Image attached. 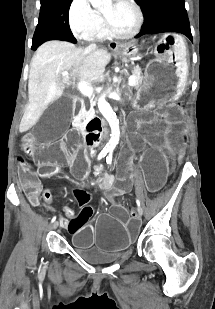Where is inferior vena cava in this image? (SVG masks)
Instances as JSON below:
<instances>
[{
  "label": "inferior vena cava",
  "mask_w": 215,
  "mask_h": 309,
  "mask_svg": "<svg viewBox=\"0 0 215 309\" xmlns=\"http://www.w3.org/2000/svg\"><path fill=\"white\" fill-rule=\"evenodd\" d=\"M96 48V44H89V46H87V50H95Z\"/></svg>",
  "instance_id": "602c4592"
}]
</instances>
